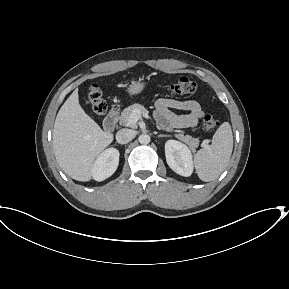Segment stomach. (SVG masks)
<instances>
[{
	"mask_svg": "<svg viewBox=\"0 0 289 289\" xmlns=\"http://www.w3.org/2000/svg\"><path fill=\"white\" fill-rule=\"evenodd\" d=\"M145 82L142 79L133 80L127 87V92L130 96H135L141 93L145 87Z\"/></svg>",
	"mask_w": 289,
	"mask_h": 289,
	"instance_id": "stomach-1",
	"label": "stomach"
}]
</instances>
